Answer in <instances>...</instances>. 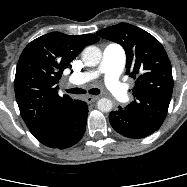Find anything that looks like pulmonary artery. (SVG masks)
I'll use <instances>...</instances> for the list:
<instances>
[{
  "instance_id": "e3ab8cb5",
  "label": "pulmonary artery",
  "mask_w": 187,
  "mask_h": 187,
  "mask_svg": "<svg viewBox=\"0 0 187 187\" xmlns=\"http://www.w3.org/2000/svg\"><path fill=\"white\" fill-rule=\"evenodd\" d=\"M125 52L118 44H109L103 52L101 64L97 69L73 74L69 82L74 85H82L90 82L100 75L104 76V82L110 92L120 101L127 99V91L120 82L119 77L125 65Z\"/></svg>"
}]
</instances>
